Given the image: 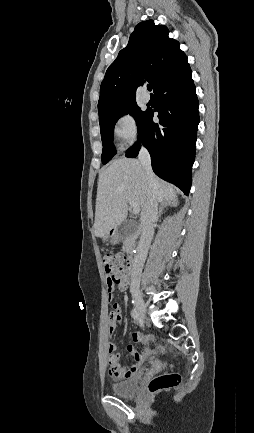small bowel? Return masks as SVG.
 Here are the masks:
<instances>
[{"label":"small bowel","mask_w":254,"mask_h":433,"mask_svg":"<svg viewBox=\"0 0 254 433\" xmlns=\"http://www.w3.org/2000/svg\"><path fill=\"white\" fill-rule=\"evenodd\" d=\"M117 287L120 291H125L128 288V282L117 284ZM107 290L109 299L111 300L113 298L114 285L107 286ZM121 318L120 306L115 303L112 306V311L108 322V333L110 335L114 334L117 328L120 326ZM132 340L135 343L144 344L146 347L144 350L138 351L132 344L127 346L128 353L133 357V363L128 367H124L120 363V354L116 353V345L114 343L107 344V363L109 366V374L114 380H124L136 375L140 370L141 365L151 352V349L147 347L149 340L145 335L139 332H133Z\"/></svg>","instance_id":"1"}]
</instances>
